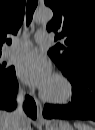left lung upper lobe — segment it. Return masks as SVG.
I'll return each instance as SVG.
<instances>
[{"mask_svg": "<svg viewBox=\"0 0 95 130\" xmlns=\"http://www.w3.org/2000/svg\"><path fill=\"white\" fill-rule=\"evenodd\" d=\"M53 10L47 24L55 39H63L48 55L72 77L84 68H95V0H44Z\"/></svg>", "mask_w": 95, "mask_h": 130, "instance_id": "1", "label": "left lung upper lobe"}]
</instances>
